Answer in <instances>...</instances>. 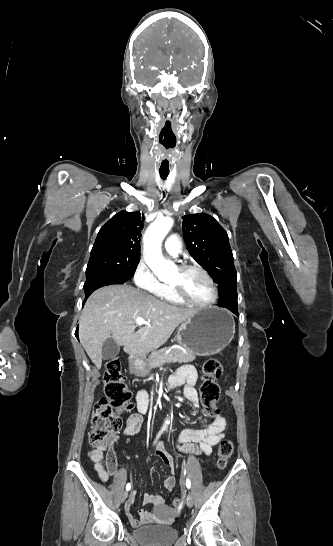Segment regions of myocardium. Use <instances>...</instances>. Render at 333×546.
Here are the masks:
<instances>
[{"label": "myocardium", "instance_id": "f54148a6", "mask_svg": "<svg viewBox=\"0 0 333 546\" xmlns=\"http://www.w3.org/2000/svg\"><path fill=\"white\" fill-rule=\"evenodd\" d=\"M191 270H195V271H198L200 272L205 278L206 280L208 281L209 285L211 286V289H212V298L207 301V302H196L192 299H190L184 292V290L182 289V287L178 284H172L171 287H172V290L175 294V296L180 300L182 301L183 303H186V304H189V305H192V306H195V307H209V306H212L214 305L217 300H218V296H219V293H218V288L215 284V281L213 280V278L211 277V275L203 268L201 267L200 265H196V264H186V265H182L178 268V271L180 273H186L188 271H191Z\"/></svg>", "mask_w": 333, "mask_h": 546}]
</instances>
